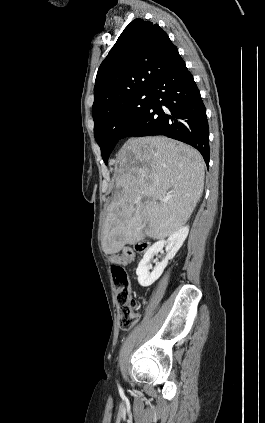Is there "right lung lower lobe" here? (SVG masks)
<instances>
[{"instance_id": "right-lung-lower-lobe-1", "label": "right lung lower lobe", "mask_w": 265, "mask_h": 423, "mask_svg": "<svg viewBox=\"0 0 265 423\" xmlns=\"http://www.w3.org/2000/svg\"><path fill=\"white\" fill-rule=\"evenodd\" d=\"M150 92V104L122 138L164 135L196 148L208 166L206 109L193 76L179 53L158 75Z\"/></svg>"}]
</instances>
